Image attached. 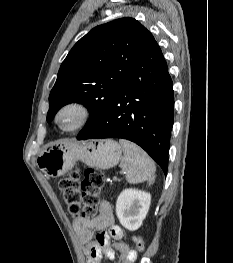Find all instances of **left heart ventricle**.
<instances>
[{
    "mask_svg": "<svg viewBox=\"0 0 233 263\" xmlns=\"http://www.w3.org/2000/svg\"><path fill=\"white\" fill-rule=\"evenodd\" d=\"M77 120V115L73 112L65 113L61 117V123L64 127H70L72 126Z\"/></svg>",
    "mask_w": 233,
    "mask_h": 263,
    "instance_id": "1",
    "label": "left heart ventricle"
}]
</instances>
